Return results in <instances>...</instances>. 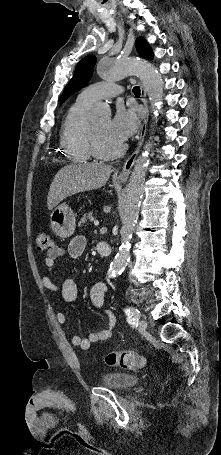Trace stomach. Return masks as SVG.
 <instances>
[{"instance_id": "1", "label": "stomach", "mask_w": 221, "mask_h": 455, "mask_svg": "<svg viewBox=\"0 0 221 455\" xmlns=\"http://www.w3.org/2000/svg\"><path fill=\"white\" fill-rule=\"evenodd\" d=\"M50 227L60 238H68L73 235L76 227L75 214L66 203L56 206L51 212Z\"/></svg>"}]
</instances>
